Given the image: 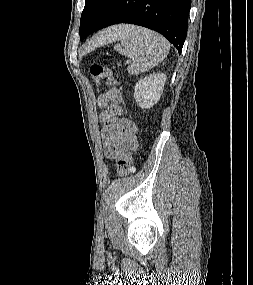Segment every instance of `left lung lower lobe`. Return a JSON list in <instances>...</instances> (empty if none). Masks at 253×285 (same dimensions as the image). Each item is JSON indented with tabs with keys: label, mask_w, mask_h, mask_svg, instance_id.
Listing matches in <instances>:
<instances>
[{
	"label": "left lung lower lobe",
	"mask_w": 253,
	"mask_h": 285,
	"mask_svg": "<svg viewBox=\"0 0 253 285\" xmlns=\"http://www.w3.org/2000/svg\"><path fill=\"white\" fill-rule=\"evenodd\" d=\"M190 7L191 0H112L91 33L113 24H136L161 33L181 53Z\"/></svg>",
	"instance_id": "0a47b994"
}]
</instances>
